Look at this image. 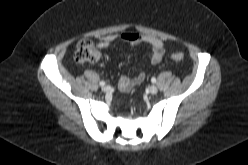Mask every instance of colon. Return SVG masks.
<instances>
[{
  "label": "colon",
  "mask_w": 248,
  "mask_h": 165,
  "mask_svg": "<svg viewBox=\"0 0 248 165\" xmlns=\"http://www.w3.org/2000/svg\"><path fill=\"white\" fill-rule=\"evenodd\" d=\"M171 57L175 62H181L184 59V55L180 52L173 53ZM74 58L76 62L82 64L97 62L99 59V51L94 41L90 39H81L77 43Z\"/></svg>",
  "instance_id": "1"
}]
</instances>
